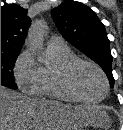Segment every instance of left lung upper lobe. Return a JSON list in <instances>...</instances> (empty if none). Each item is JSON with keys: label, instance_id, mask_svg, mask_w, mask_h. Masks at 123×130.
<instances>
[{"label": "left lung upper lobe", "instance_id": "5c2ea615", "mask_svg": "<svg viewBox=\"0 0 123 130\" xmlns=\"http://www.w3.org/2000/svg\"><path fill=\"white\" fill-rule=\"evenodd\" d=\"M51 15L63 37L99 64L113 87L110 42L96 13L83 3L68 0L54 8Z\"/></svg>", "mask_w": 123, "mask_h": 130}]
</instances>
